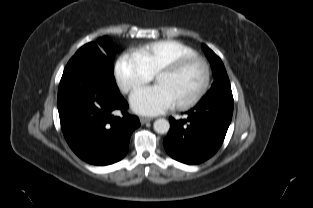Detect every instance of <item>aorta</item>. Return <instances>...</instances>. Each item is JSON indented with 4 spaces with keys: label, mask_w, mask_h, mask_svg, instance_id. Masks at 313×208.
Masks as SVG:
<instances>
[{
    "label": "aorta",
    "mask_w": 313,
    "mask_h": 208,
    "mask_svg": "<svg viewBox=\"0 0 313 208\" xmlns=\"http://www.w3.org/2000/svg\"><path fill=\"white\" fill-rule=\"evenodd\" d=\"M154 130L159 134H165L169 131L170 124L166 119H157L153 124Z\"/></svg>",
    "instance_id": "1"
}]
</instances>
